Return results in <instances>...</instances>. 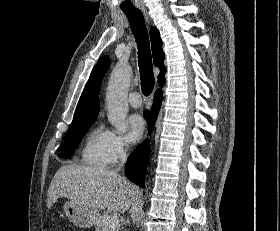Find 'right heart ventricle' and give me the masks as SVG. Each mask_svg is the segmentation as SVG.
<instances>
[{"label": "right heart ventricle", "instance_id": "e07e8e85", "mask_svg": "<svg viewBox=\"0 0 280 231\" xmlns=\"http://www.w3.org/2000/svg\"><path fill=\"white\" fill-rule=\"evenodd\" d=\"M104 134L105 132L99 127H95L88 133L80 151V159L83 165L104 167L107 164L103 145Z\"/></svg>", "mask_w": 280, "mask_h": 231}]
</instances>
